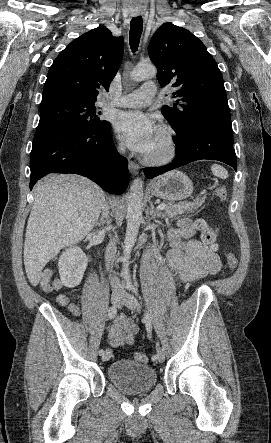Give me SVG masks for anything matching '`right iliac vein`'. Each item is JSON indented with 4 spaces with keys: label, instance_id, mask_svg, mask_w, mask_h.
Wrapping results in <instances>:
<instances>
[{
    "label": "right iliac vein",
    "instance_id": "1",
    "mask_svg": "<svg viewBox=\"0 0 271 443\" xmlns=\"http://www.w3.org/2000/svg\"><path fill=\"white\" fill-rule=\"evenodd\" d=\"M121 300L122 296L120 294H113L111 297V303L115 307L119 306ZM111 355H112L111 349H106V351L102 355V361H108L111 358Z\"/></svg>",
    "mask_w": 271,
    "mask_h": 443
}]
</instances>
